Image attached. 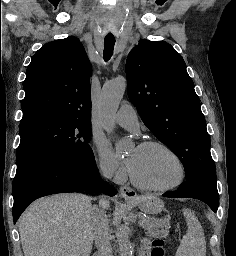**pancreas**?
Wrapping results in <instances>:
<instances>
[{
    "mask_svg": "<svg viewBox=\"0 0 236 256\" xmlns=\"http://www.w3.org/2000/svg\"><path fill=\"white\" fill-rule=\"evenodd\" d=\"M141 226L145 228V234L148 236V238H158V236H164L165 234L164 231L160 230L161 226H159V224H155V222L150 220V218H145Z\"/></svg>",
    "mask_w": 236,
    "mask_h": 256,
    "instance_id": "obj_1",
    "label": "pancreas"
}]
</instances>
